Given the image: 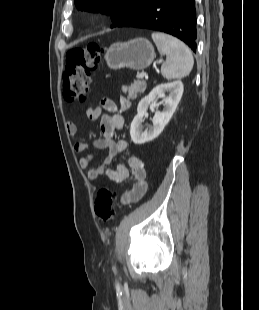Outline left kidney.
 Instances as JSON below:
<instances>
[{"instance_id": "obj_1", "label": "left kidney", "mask_w": 259, "mask_h": 310, "mask_svg": "<svg viewBox=\"0 0 259 310\" xmlns=\"http://www.w3.org/2000/svg\"><path fill=\"white\" fill-rule=\"evenodd\" d=\"M183 90V83L179 80L160 84L153 88L152 91L139 102L137 115L134 117L130 127L131 139L135 144H144L152 141L161 134L164 127L173 116L181 100ZM165 92H169V95L164 98L163 111H156L152 120L153 125L143 130L142 122L148 106L155 104L156 97L165 95Z\"/></svg>"}]
</instances>
